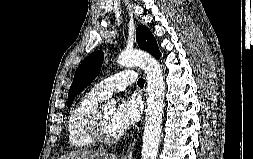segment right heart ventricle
Masks as SVG:
<instances>
[{"label": "right heart ventricle", "instance_id": "right-heart-ventricle-1", "mask_svg": "<svg viewBox=\"0 0 253 159\" xmlns=\"http://www.w3.org/2000/svg\"><path fill=\"white\" fill-rule=\"evenodd\" d=\"M103 98L92 91L83 96L70 111L67 126L68 143L80 150L91 149L96 142L91 127Z\"/></svg>", "mask_w": 253, "mask_h": 159}]
</instances>
